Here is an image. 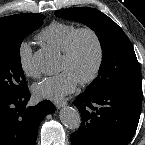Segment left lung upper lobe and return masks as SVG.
Wrapping results in <instances>:
<instances>
[{
  "label": "left lung upper lobe",
  "instance_id": "5c2ea615",
  "mask_svg": "<svg viewBox=\"0 0 145 145\" xmlns=\"http://www.w3.org/2000/svg\"><path fill=\"white\" fill-rule=\"evenodd\" d=\"M55 15L89 26L101 44L103 59L98 76L86 88L91 94L142 85L141 70L133 46L124 31L108 16L90 7L58 10Z\"/></svg>",
  "mask_w": 145,
  "mask_h": 145
}]
</instances>
